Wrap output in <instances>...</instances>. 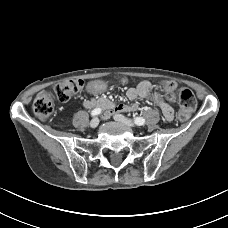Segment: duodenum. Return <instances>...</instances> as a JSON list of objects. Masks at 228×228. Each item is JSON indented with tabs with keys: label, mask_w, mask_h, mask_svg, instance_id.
I'll return each instance as SVG.
<instances>
[{
	"label": "duodenum",
	"mask_w": 228,
	"mask_h": 228,
	"mask_svg": "<svg viewBox=\"0 0 228 228\" xmlns=\"http://www.w3.org/2000/svg\"><path fill=\"white\" fill-rule=\"evenodd\" d=\"M104 104H105L106 106H108V107L113 106V103H111L109 100H105V101H104Z\"/></svg>",
	"instance_id": "1"
}]
</instances>
